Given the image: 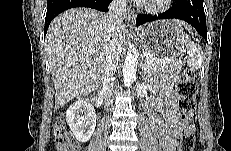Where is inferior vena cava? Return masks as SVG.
Segmentation results:
<instances>
[{"instance_id": "1", "label": "inferior vena cava", "mask_w": 231, "mask_h": 151, "mask_svg": "<svg viewBox=\"0 0 231 151\" xmlns=\"http://www.w3.org/2000/svg\"><path fill=\"white\" fill-rule=\"evenodd\" d=\"M126 2V0H113L108 7V13L106 14V17L108 32L111 38L116 37L123 28V19L127 12ZM120 53V47H118L116 42L111 41L108 43L106 50L104 76L102 80L105 99L107 101L106 107L109 106L108 98L114 87L112 79L118 66Z\"/></svg>"}]
</instances>
